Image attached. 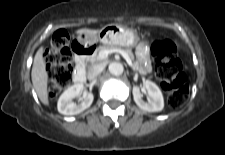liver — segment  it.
Listing matches in <instances>:
<instances>
[{
	"label": "liver",
	"instance_id": "6515ba94",
	"mask_svg": "<svg viewBox=\"0 0 225 155\" xmlns=\"http://www.w3.org/2000/svg\"><path fill=\"white\" fill-rule=\"evenodd\" d=\"M100 30H92V29H80L77 30L76 33L79 35L93 36L97 34ZM43 48H40L33 61L31 78L34 89L40 99V101L44 105H49L48 100V73L45 69V61L43 59Z\"/></svg>",
	"mask_w": 225,
	"mask_h": 155
}]
</instances>
